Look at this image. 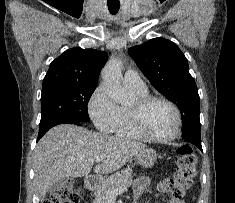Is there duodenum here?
I'll list each match as a JSON object with an SVG mask.
<instances>
[{
  "label": "duodenum",
  "instance_id": "1",
  "mask_svg": "<svg viewBox=\"0 0 235 203\" xmlns=\"http://www.w3.org/2000/svg\"><path fill=\"white\" fill-rule=\"evenodd\" d=\"M98 180L94 176H88L84 181V189L91 191L97 186Z\"/></svg>",
  "mask_w": 235,
  "mask_h": 203
}]
</instances>
